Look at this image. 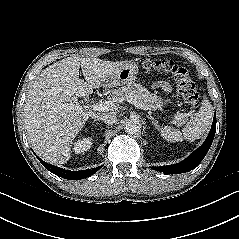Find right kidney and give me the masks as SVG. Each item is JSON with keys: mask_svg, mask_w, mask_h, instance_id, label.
<instances>
[{"mask_svg": "<svg viewBox=\"0 0 239 239\" xmlns=\"http://www.w3.org/2000/svg\"><path fill=\"white\" fill-rule=\"evenodd\" d=\"M91 145H92L91 137L82 138V139L78 140L77 142H75L73 150H74L75 154H80V153H83V152L89 150Z\"/></svg>", "mask_w": 239, "mask_h": 239, "instance_id": "1", "label": "right kidney"}]
</instances>
